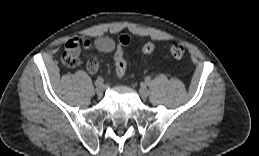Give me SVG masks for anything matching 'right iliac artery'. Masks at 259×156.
Here are the masks:
<instances>
[{
    "label": "right iliac artery",
    "instance_id": "82829eb1",
    "mask_svg": "<svg viewBox=\"0 0 259 156\" xmlns=\"http://www.w3.org/2000/svg\"><path fill=\"white\" fill-rule=\"evenodd\" d=\"M104 82V79L99 77L96 81H95V86H100L102 85Z\"/></svg>",
    "mask_w": 259,
    "mask_h": 156
}]
</instances>
